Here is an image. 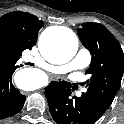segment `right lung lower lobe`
Listing matches in <instances>:
<instances>
[{
  "label": "right lung lower lobe",
  "mask_w": 124,
  "mask_h": 124,
  "mask_svg": "<svg viewBox=\"0 0 124 124\" xmlns=\"http://www.w3.org/2000/svg\"><path fill=\"white\" fill-rule=\"evenodd\" d=\"M17 68L14 64H0V119L18 113L26 100L12 84L11 76Z\"/></svg>",
  "instance_id": "right-lung-lower-lobe-1"
}]
</instances>
